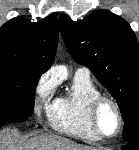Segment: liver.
Wrapping results in <instances>:
<instances>
[{"label": "liver", "mask_w": 139, "mask_h": 150, "mask_svg": "<svg viewBox=\"0 0 139 150\" xmlns=\"http://www.w3.org/2000/svg\"><path fill=\"white\" fill-rule=\"evenodd\" d=\"M16 138L15 130H4L0 134V150H97L56 135L38 136L18 144L15 143Z\"/></svg>", "instance_id": "liver-1"}]
</instances>
